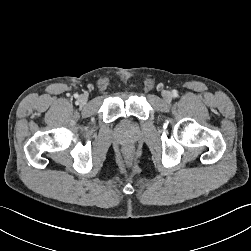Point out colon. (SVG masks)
Returning a JSON list of instances; mask_svg holds the SVG:
<instances>
[{
  "mask_svg": "<svg viewBox=\"0 0 251 251\" xmlns=\"http://www.w3.org/2000/svg\"><path fill=\"white\" fill-rule=\"evenodd\" d=\"M130 155H131V154H130V152L128 151V152H127V156L130 157Z\"/></svg>",
  "mask_w": 251,
  "mask_h": 251,
  "instance_id": "obj_1",
  "label": "colon"
}]
</instances>
